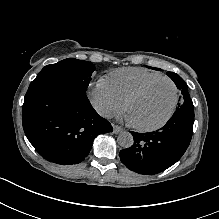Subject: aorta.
I'll list each match as a JSON object with an SVG mask.
<instances>
[{"instance_id": "762f6f07", "label": "aorta", "mask_w": 219, "mask_h": 219, "mask_svg": "<svg viewBox=\"0 0 219 219\" xmlns=\"http://www.w3.org/2000/svg\"><path fill=\"white\" fill-rule=\"evenodd\" d=\"M117 142L123 148H130L134 143V139L131 133L123 132L118 135Z\"/></svg>"}]
</instances>
